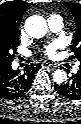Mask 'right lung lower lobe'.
<instances>
[{
    "label": "right lung lower lobe",
    "mask_w": 81,
    "mask_h": 124,
    "mask_svg": "<svg viewBox=\"0 0 81 124\" xmlns=\"http://www.w3.org/2000/svg\"><path fill=\"white\" fill-rule=\"evenodd\" d=\"M40 64L27 65L23 71L13 70L11 62L0 63V96L13 100L22 97L31 87Z\"/></svg>",
    "instance_id": "obj_1"
}]
</instances>
